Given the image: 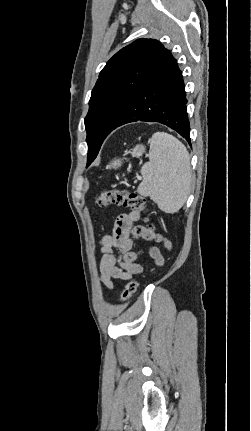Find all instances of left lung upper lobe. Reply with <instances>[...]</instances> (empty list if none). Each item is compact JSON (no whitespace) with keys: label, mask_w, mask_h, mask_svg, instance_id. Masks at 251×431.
Masks as SVG:
<instances>
[{"label":"left lung upper lobe","mask_w":251,"mask_h":431,"mask_svg":"<svg viewBox=\"0 0 251 431\" xmlns=\"http://www.w3.org/2000/svg\"><path fill=\"white\" fill-rule=\"evenodd\" d=\"M163 49L157 40L138 39L117 52L102 69L85 117L87 166L96 158L106 132L114 130L125 115Z\"/></svg>","instance_id":"left-lung-upper-lobe-1"}]
</instances>
